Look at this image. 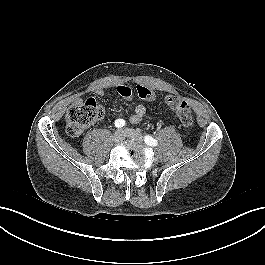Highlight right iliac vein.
Wrapping results in <instances>:
<instances>
[{
	"instance_id": "obj_1",
	"label": "right iliac vein",
	"mask_w": 265,
	"mask_h": 265,
	"mask_svg": "<svg viewBox=\"0 0 265 265\" xmlns=\"http://www.w3.org/2000/svg\"><path fill=\"white\" fill-rule=\"evenodd\" d=\"M125 138V133L123 130L121 129H118L114 135H113V140L116 142V143H120L124 140Z\"/></svg>"
}]
</instances>
